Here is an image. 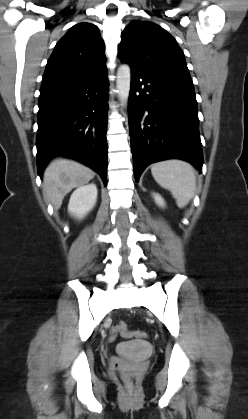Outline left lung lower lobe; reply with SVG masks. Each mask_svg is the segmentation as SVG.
<instances>
[{
    "label": "left lung lower lobe",
    "instance_id": "1",
    "mask_svg": "<svg viewBox=\"0 0 248 419\" xmlns=\"http://www.w3.org/2000/svg\"><path fill=\"white\" fill-rule=\"evenodd\" d=\"M128 113L136 181L149 164L170 158L188 161L201 172L193 87L131 68Z\"/></svg>",
    "mask_w": 248,
    "mask_h": 419
}]
</instances>
